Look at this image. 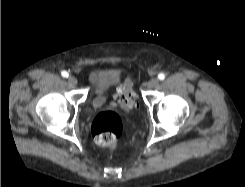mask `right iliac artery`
I'll return each mask as SVG.
<instances>
[{
  "label": "right iliac artery",
  "instance_id": "82829eb1",
  "mask_svg": "<svg viewBox=\"0 0 245 187\" xmlns=\"http://www.w3.org/2000/svg\"><path fill=\"white\" fill-rule=\"evenodd\" d=\"M61 75L64 77V78H67L68 77V72L67 71H63L61 73Z\"/></svg>",
  "mask_w": 245,
  "mask_h": 187
}]
</instances>
